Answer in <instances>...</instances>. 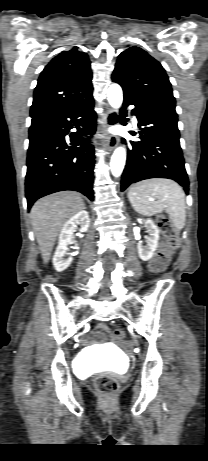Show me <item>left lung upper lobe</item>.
<instances>
[{
    "mask_svg": "<svg viewBox=\"0 0 208 461\" xmlns=\"http://www.w3.org/2000/svg\"><path fill=\"white\" fill-rule=\"evenodd\" d=\"M124 96L141 104L175 109L171 83L162 65L139 47H128L119 56L112 74Z\"/></svg>",
    "mask_w": 208,
    "mask_h": 461,
    "instance_id": "1",
    "label": "left lung upper lobe"
}]
</instances>
